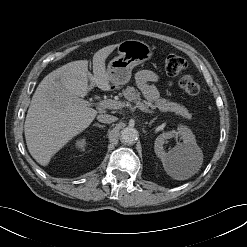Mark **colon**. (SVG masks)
<instances>
[{
    "label": "colon",
    "instance_id": "5ec220e1",
    "mask_svg": "<svg viewBox=\"0 0 247 247\" xmlns=\"http://www.w3.org/2000/svg\"><path fill=\"white\" fill-rule=\"evenodd\" d=\"M187 62L176 54H169L165 59V69L169 75H181L179 84L181 89L188 95L194 96L200 92L198 81L190 74H185Z\"/></svg>",
    "mask_w": 247,
    "mask_h": 247
}]
</instances>
